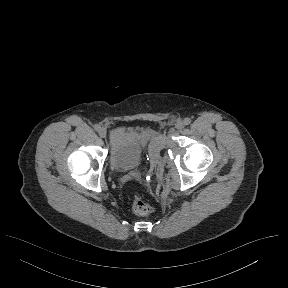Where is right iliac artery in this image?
<instances>
[{
    "label": "right iliac artery",
    "instance_id": "obj_1",
    "mask_svg": "<svg viewBox=\"0 0 288 288\" xmlns=\"http://www.w3.org/2000/svg\"><path fill=\"white\" fill-rule=\"evenodd\" d=\"M94 129H95L96 131H99V130L101 129V126H100L99 124H95V125H94Z\"/></svg>",
    "mask_w": 288,
    "mask_h": 288
}]
</instances>
